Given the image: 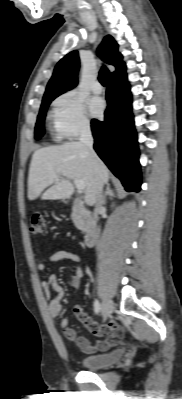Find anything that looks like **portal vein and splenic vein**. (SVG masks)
Instances as JSON below:
<instances>
[{"label": "portal vein and splenic vein", "instance_id": "portal-vein-and-splenic-vein-1", "mask_svg": "<svg viewBox=\"0 0 182 399\" xmlns=\"http://www.w3.org/2000/svg\"><path fill=\"white\" fill-rule=\"evenodd\" d=\"M54 179H58V177L55 175ZM74 184L79 191H83L85 189V184L82 180L74 179Z\"/></svg>", "mask_w": 182, "mask_h": 399}]
</instances>
